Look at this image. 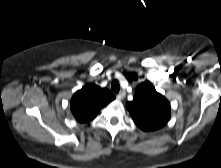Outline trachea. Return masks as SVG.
<instances>
[{
    "mask_svg": "<svg viewBox=\"0 0 221 168\" xmlns=\"http://www.w3.org/2000/svg\"><path fill=\"white\" fill-rule=\"evenodd\" d=\"M111 89L112 91H114L115 93H118L119 90H120V85H119V82L114 80L111 84Z\"/></svg>",
    "mask_w": 221,
    "mask_h": 168,
    "instance_id": "trachea-1",
    "label": "trachea"
}]
</instances>
